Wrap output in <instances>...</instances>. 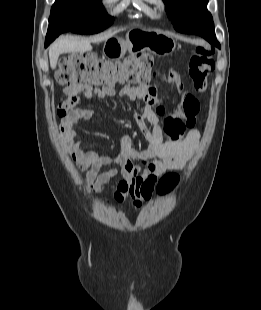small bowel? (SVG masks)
<instances>
[{
    "label": "small bowel",
    "mask_w": 261,
    "mask_h": 310,
    "mask_svg": "<svg viewBox=\"0 0 261 310\" xmlns=\"http://www.w3.org/2000/svg\"><path fill=\"white\" fill-rule=\"evenodd\" d=\"M172 76V75H171ZM73 105L81 97L97 96L112 97L117 94L114 88L93 90L90 86L78 84L66 90ZM130 100L140 97H152L155 89L148 84L125 86L119 93ZM199 112V102L190 93L184 95L181 106L174 116L165 119V130L160 124L159 117L164 115L163 108L146 107L135 116L140 128L148 139V147L138 150L133 146L132 138L123 135L116 154L105 156L95 152H85L77 137L76 125L79 121H88L93 116L90 108H74L63 121L65 137L70 154L80 170H87L85 186L95 192L102 191L109 181L120 176L114 198L123 203L130 200L134 208H140L148 201L153 193L158 179L166 172L181 169L193 153L199 140L200 133L193 129ZM190 130L185 134L186 129ZM165 132L169 138L165 139ZM103 168H108L101 172Z\"/></svg>",
    "instance_id": "1"
}]
</instances>
